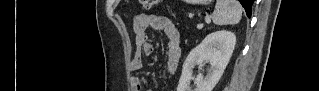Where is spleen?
I'll return each instance as SVG.
<instances>
[{
  "mask_svg": "<svg viewBox=\"0 0 319 91\" xmlns=\"http://www.w3.org/2000/svg\"><path fill=\"white\" fill-rule=\"evenodd\" d=\"M242 17V6L237 0H217L212 20L216 25H235Z\"/></svg>",
  "mask_w": 319,
  "mask_h": 91,
  "instance_id": "3e777b00",
  "label": "spleen"
}]
</instances>
